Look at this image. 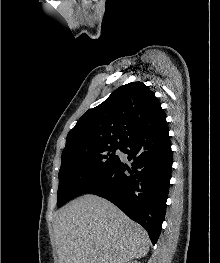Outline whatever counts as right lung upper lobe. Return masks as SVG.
I'll use <instances>...</instances> for the list:
<instances>
[{
	"label": "right lung upper lobe",
	"instance_id": "cb5924a9",
	"mask_svg": "<svg viewBox=\"0 0 220 263\" xmlns=\"http://www.w3.org/2000/svg\"><path fill=\"white\" fill-rule=\"evenodd\" d=\"M166 115L155 94L142 82L119 87L89 109L69 132L63 154L106 147L124 148L139 137L168 131Z\"/></svg>",
	"mask_w": 220,
	"mask_h": 263
}]
</instances>
